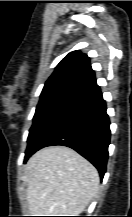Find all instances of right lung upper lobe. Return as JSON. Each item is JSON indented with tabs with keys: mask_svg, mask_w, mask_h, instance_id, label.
Listing matches in <instances>:
<instances>
[{
	"mask_svg": "<svg viewBox=\"0 0 132 217\" xmlns=\"http://www.w3.org/2000/svg\"><path fill=\"white\" fill-rule=\"evenodd\" d=\"M98 89L90 59L77 50L61 60L45 83L41 94L66 92L80 97Z\"/></svg>",
	"mask_w": 132,
	"mask_h": 217,
	"instance_id": "right-lung-upper-lobe-1",
	"label": "right lung upper lobe"
}]
</instances>
